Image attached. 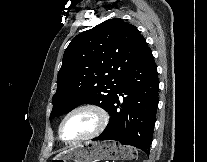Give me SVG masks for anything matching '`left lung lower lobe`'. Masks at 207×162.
I'll list each match as a JSON object with an SVG mask.
<instances>
[{
  "mask_svg": "<svg viewBox=\"0 0 207 162\" xmlns=\"http://www.w3.org/2000/svg\"><path fill=\"white\" fill-rule=\"evenodd\" d=\"M159 80L151 50L126 75L108 110L110 123L93 140H115L150 153L158 106ZM118 94L123 96L119 104Z\"/></svg>",
  "mask_w": 207,
  "mask_h": 162,
  "instance_id": "left-lung-lower-lobe-1",
  "label": "left lung lower lobe"
}]
</instances>
